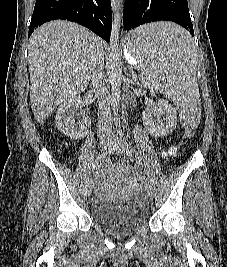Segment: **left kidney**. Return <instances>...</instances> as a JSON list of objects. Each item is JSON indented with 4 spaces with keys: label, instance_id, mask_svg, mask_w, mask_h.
Returning a JSON list of instances; mask_svg holds the SVG:
<instances>
[{
    "label": "left kidney",
    "instance_id": "5707ae66",
    "mask_svg": "<svg viewBox=\"0 0 227 267\" xmlns=\"http://www.w3.org/2000/svg\"><path fill=\"white\" fill-rule=\"evenodd\" d=\"M158 108L159 119L157 121L152 118L151 113L143 114V123L147 131L155 137L172 133L177 125V112L171 104L165 100H159Z\"/></svg>",
    "mask_w": 227,
    "mask_h": 267
}]
</instances>
